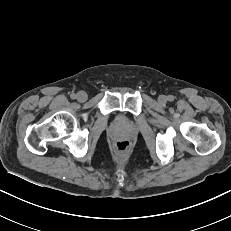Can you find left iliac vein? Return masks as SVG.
<instances>
[{
	"mask_svg": "<svg viewBox=\"0 0 231 231\" xmlns=\"http://www.w3.org/2000/svg\"><path fill=\"white\" fill-rule=\"evenodd\" d=\"M158 101H159L161 104H164V103H166L167 98H166L165 95H160V96L158 97Z\"/></svg>",
	"mask_w": 231,
	"mask_h": 231,
	"instance_id": "4c4485c4",
	"label": "left iliac vein"
}]
</instances>
